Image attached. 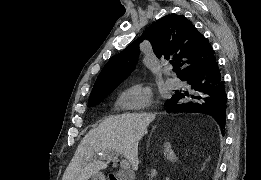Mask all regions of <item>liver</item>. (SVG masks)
I'll list each match as a JSON object with an SVG mask.
<instances>
[{
    "mask_svg": "<svg viewBox=\"0 0 261 180\" xmlns=\"http://www.w3.org/2000/svg\"><path fill=\"white\" fill-rule=\"evenodd\" d=\"M152 120L153 114H119L102 120L81 140L69 166L68 180H90L107 168L98 158L110 152H120L133 170H138V144Z\"/></svg>",
    "mask_w": 261,
    "mask_h": 180,
    "instance_id": "liver-1",
    "label": "liver"
}]
</instances>
